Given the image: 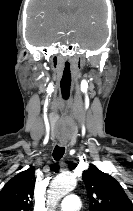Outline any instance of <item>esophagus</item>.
I'll use <instances>...</instances> for the list:
<instances>
[{
    "instance_id": "obj_1",
    "label": "esophagus",
    "mask_w": 133,
    "mask_h": 211,
    "mask_svg": "<svg viewBox=\"0 0 133 211\" xmlns=\"http://www.w3.org/2000/svg\"><path fill=\"white\" fill-rule=\"evenodd\" d=\"M66 144H67L66 141H60V145H61V146H65Z\"/></svg>"
}]
</instances>
